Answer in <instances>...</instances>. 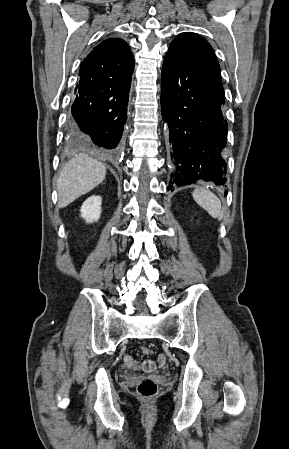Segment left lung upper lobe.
Masks as SVG:
<instances>
[{"instance_id": "5c2ea615", "label": "left lung upper lobe", "mask_w": 289, "mask_h": 449, "mask_svg": "<svg viewBox=\"0 0 289 449\" xmlns=\"http://www.w3.org/2000/svg\"><path fill=\"white\" fill-rule=\"evenodd\" d=\"M169 51L197 58L220 75V67L212 47L197 34L190 32L179 34L171 43Z\"/></svg>"}]
</instances>
